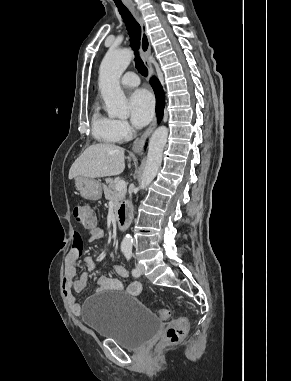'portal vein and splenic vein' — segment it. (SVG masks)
Returning <instances> with one entry per match:
<instances>
[{"instance_id":"portal-vein-and-splenic-vein-1","label":"portal vein and splenic vein","mask_w":291,"mask_h":381,"mask_svg":"<svg viewBox=\"0 0 291 381\" xmlns=\"http://www.w3.org/2000/svg\"><path fill=\"white\" fill-rule=\"evenodd\" d=\"M115 188L116 190H123L126 188V183L124 180H119L116 184H115Z\"/></svg>"}]
</instances>
